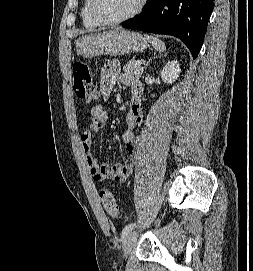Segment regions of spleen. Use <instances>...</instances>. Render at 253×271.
Returning <instances> with one entry per match:
<instances>
[{
  "instance_id": "1",
  "label": "spleen",
  "mask_w": 253,
  "mask_h": 271,
  "mask_svg": "<svg viewBox=\"0 0 253 271\" xmlns=\"http://www.w3.org/2000/svg\"><path fill=\"white\" fill-rule=\"evenodd\" d=\"M145 38L153 45L157 51H164L166 49L165 43L155 36L145 34Z\"/></svg>"
}]
</instances>
